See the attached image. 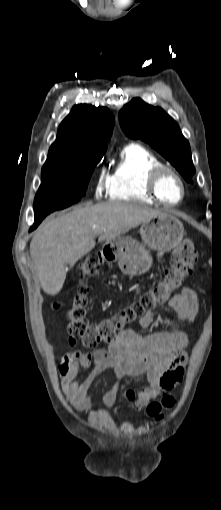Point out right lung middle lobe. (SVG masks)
<instances>
[{
	"instance_id": "right-lung-middle-lobe-1",
	"label": "right lung middle lobe",
	"mask_w": 221,
	"mask_h": 510,
	"mask_svg": "<svg viewBox=\"0 0 221 510\" xmlns=\"http://www.w3.org/2000/svg\"><path fill=\"white\" fill-rule=\"evenodd\" d=\"M105 152L106 149L47 160L34 200V214L48 215L78 202L85 195L94 168Z\"/></svg>"
}]
</instances>
